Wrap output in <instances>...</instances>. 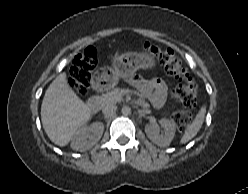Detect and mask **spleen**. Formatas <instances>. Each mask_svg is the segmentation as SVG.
I'll list each match as a JSON object with an SVG mask.
<instances>
[{"label":"spleen","mask_w":248,"mask_h":194,"mask_svg":"<svg viewBox=\"0 0 248 194\" xmlns=\"http://www.w3.org/2000/svg\"><path fill=\"white\" fill-rule=\"evenodd\" d=\"M205 114H206V107L202 106L198 114L196 115L195 119L193 120L191 125L186 129L184 135L182 136L180 140L181 144L187 143L197 135L204 122Z\"/></svg>","instance_id":"spleen-1"}]
</instances>
